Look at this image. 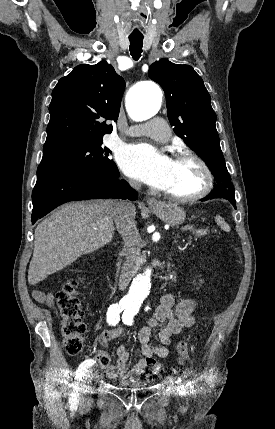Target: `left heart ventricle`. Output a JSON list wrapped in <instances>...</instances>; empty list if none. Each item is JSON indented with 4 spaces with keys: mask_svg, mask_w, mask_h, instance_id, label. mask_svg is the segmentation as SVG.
Here are the masks:
<instances>
[{
    "mask_svg": "<svg viewBox=\"0 0 275 429\" xmlns=\"http://www.w3.org/2000/svg\"><path fill=\"white\" fill-rule=\"evenodd\" d=\"M203 173L197 163L191 160H173L164 191L179 195H191L203 185Z\"/></svg>",
    "mask_w": 275,
    "mask_h": 429,
    "instance_id": "left-heart-ventricle-1",
    "label": "left heart ventricle"
}]
</instances>
